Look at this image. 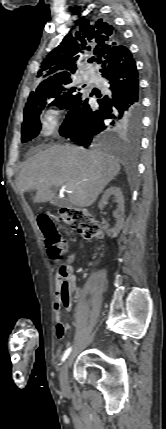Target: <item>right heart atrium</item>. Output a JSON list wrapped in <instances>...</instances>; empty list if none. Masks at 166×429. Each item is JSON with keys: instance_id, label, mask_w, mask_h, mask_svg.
<instances>
[{"instance_id": "right-heart-atrium-1", "label": "right heart atrium", "mask_w": 166, "mask_h": 429, "mask_svg": "<svg viewBox=\"0 0 166 429\" xmlns=\"http://www.w3.org/2000/svg\"><path fill=\"white\" fill-rule=\"evenodd\" d=\"M59 118V109L54 104H49L41 119L42 130L47 133L55 128Z\"/></svg>"}]
</instances>
